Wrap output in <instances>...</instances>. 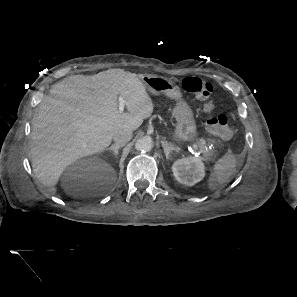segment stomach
<instances>
[{
    "label": "stomach",
    "instance_id": "0dacf381",
    "mask_svg": "<svg viewBox=\"0 0 297 297\" xmlns=\"http://www.w3.org/2000/svg\"><path fill=\"white\" fill-rule=\"evenodd\" d=\"M142 82L152 94H165L177 101L172 111L176 120L174 139L181 142L194 141L197 137V125L191 107L182 99L179 87L170 79L156 75H144Z\"/></svg>",
    "mask_w": 297,
    "mask_h": 297
}]
</instances>
